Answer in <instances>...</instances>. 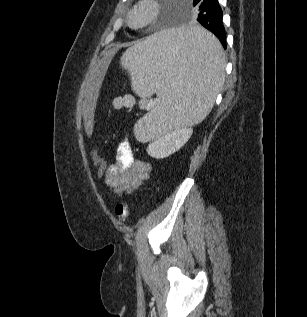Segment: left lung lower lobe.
<instances>
[{"instance_id":"0a47b994","label":"left lung lower lobe","mask_w":307,"mask_h":317,"mask_svg":"<svg viewBox=\"0 0 307 317\" xmlns=\"http://www.w3.org/2000/svg\"><path fill=\"white\" fill-rule=\"evenodd\" d=\"M193 5L196 6L198 13L197 21L211 31L226 49L225 28L222 22L223 12L218 0H194ZM186 44L199 52L205 60L213 61L215 58V52L212 49L194 40H188Z\"/></svg>"}]
</instances>
